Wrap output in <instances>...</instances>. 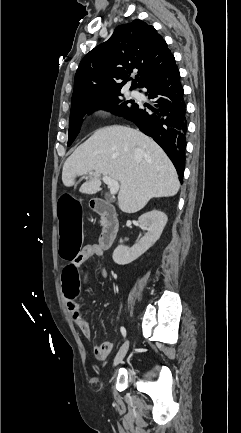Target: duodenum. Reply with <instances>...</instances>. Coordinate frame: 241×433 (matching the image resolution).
I'll list each match as a JSON object with an SVG mask.
<instances>
[{
	"label": "duodenum",
	"mask_w": 241,
	"mask_h": 433,
	"mask_svg": "<svg viewBox=\"0 0 241 433\" xmlns=\"http://www.w3.org/2000/svg\"><path fill=\"white\" fill-rule=\"evenodd\" d=\"M91 208L102 217V230L99 238V247L107 250L114 243L118 230L119 219L115 209L100 198L90 200Z\"/></svg>",
	"instance_id": "obj_1"
}]
</instances>
